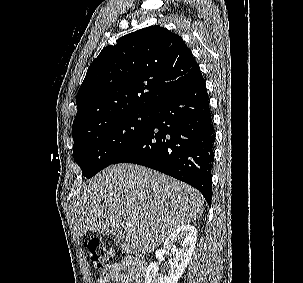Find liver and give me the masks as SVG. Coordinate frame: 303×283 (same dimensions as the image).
<instances>
[{
	"label": "liver",
	"mask_w": 303,
	"mask_h": 283,
	"mask_svg": "<svg viewBox=\"0 0 303 283\" xmlns=\"http://www.w3.org/2000/svg\"><path fill=\"white\" fill-rule=\"evenodd\" d=\"M73 219L78 236L88 231L114 235L130 219L128 246L148 253L174 230L198 219L204 198L191 186L133 164L102 170L75 192Z\"/></svg>",
	"instance_id": "1"
}]
</instances>
